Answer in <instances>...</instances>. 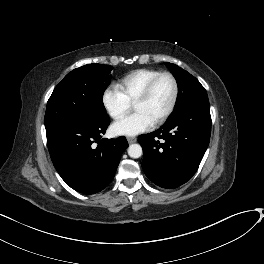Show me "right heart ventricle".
Masks as SVG:
<instances>
[{
	"mask_svg": "<svg viewBox=\"0 0 264 264\" xmlns=\"http://www.w3.org/2000/svg\"><path fill=\"white\" fill-rule=\"evenodd\" d=\"M159 73L160 71L155 69L134 70L121 79L118 87L125 94L128 100L133 103L147 83Z\"/></svg>",
	"mask_w": 264,
	"mask_h": 264,
	"instance_id": "obj_1",
	"label": "right heart ventricle"
}]
</instances>
